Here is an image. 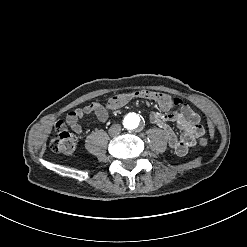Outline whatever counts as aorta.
<instances>
[{"mask_svg":"<svg viewBox=\"0 0 247 247\" xmlns=\"http://www.w3.org/2000/svg\"><path fill=\"white\" fill-rule=\"evenodd\" d=\"M139 122H140V118L137 115H132L125 120V126L128 129H135L138 127Z\"/></svg>","mask_w":247,"mask_h":247,"instance_id":"aorta-1","label":"aorta"}]
</instances>
